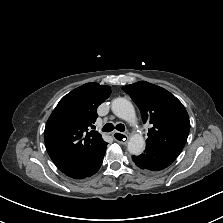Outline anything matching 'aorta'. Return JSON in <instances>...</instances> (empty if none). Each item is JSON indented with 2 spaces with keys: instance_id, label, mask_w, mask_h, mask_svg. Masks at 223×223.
I'll list each match as a JSON object with an SVG mask.
<instances>
[{
  "instance_id": "1",
  "label": "aorta",
  "mask_w": 223,
  "mask_h": 223,
  "mask_svg": "<svg viewBox=\"0 0 223 223\" xmlns=\"http://www.w3.org/2000/svg\"><path fill=\"white\" fill-rule=\"evenodd\" d=\"M112 112L119 118L129 122H136V113L132 103L122 97L116 98L112 101ZM128 151L133 155H140L145 148V141L142 135L133 134L127 145Z\"/></svg>"
}]
</instances>
